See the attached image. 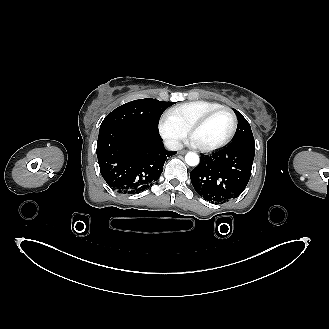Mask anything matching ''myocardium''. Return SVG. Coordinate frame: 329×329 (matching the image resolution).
<instances>
[{"mask_svg":"<svg viewBox=\"0 0 329 329\" xmlns=\"http://www.w3.org/2000/svg\"><path fill=\"white\" fill-rule=\"evenodd\" d=\"M221 112H228L232 118V128H231L230 133L223 141H221L217 144H214V145L202 146V145L196 144L195 146L198 150H200L202 152H210V151L217 150V149L222 148L225 145H227L235 136V133H236V130L238 127V119H237L235 112L230 107H227V106H222L220 108L214 109V110L210 111L209 113H207L206 115H204L203 117H201L200 119H198L197 121H195L189 128V136L192 138L194 132L198 128L202 127L211 118H213L215 115H217Z\"/></svg>","mask_w":329,"mask_h":329,"instance_id":"myocardium-1","label":"myocardium"}]
</instances>
